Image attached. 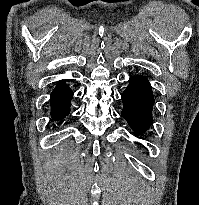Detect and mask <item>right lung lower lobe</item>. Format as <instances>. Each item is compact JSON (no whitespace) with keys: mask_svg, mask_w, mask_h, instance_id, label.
Instances as JSON below:
<instances>
[{"mask_svg":"<svg viewBox=\"0 0 199 205\" xmlns=\"http://www.w3.org/2000/svg\"><path fill=\"white\" fill-rule=\"evenodd\" d=\"M73 92L62 80L58 82L57 86L51 93V117L58 121L63 119L70 113V100Z\"/></svg>","mask_w":199,"mask_h":205,"instance_id":"1","label":"right lung lower lobe"}]
</instances>
